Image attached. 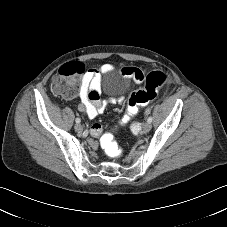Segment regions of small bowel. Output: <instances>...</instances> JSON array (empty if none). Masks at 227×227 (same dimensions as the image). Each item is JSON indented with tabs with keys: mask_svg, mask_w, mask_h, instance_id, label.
<instances>
[{
	"mask_svg": "<svg viewBox=\"0 0 227 227\" xmlns=\"http://www.w3.org/2000/svg\"><path fill=\"white\" fill-rule=\"evenodd\" d=\"M114 70V66L112 64H104L100 68H88L85 70L82 82H81V90L79 93L80 102L78 105V109L85 116L90 119L97 117L99 114L103 112L105 109L106 103L100 98L97 100H92L90 97V92L92 89H96L100 94V80L102 74L110 73ZM140 70L142 73V77L140 79H134L136 83H141L145 78V71L143 69L129 67L126 68L125 71H134ZM67 99L70 97L64 96ZM139 130L138 125L132 126V132L136 134ZM90 134L93 138L88 140V143L91 147L97 148L98 142L95 138L99 137L102 134V126L99 123H93L90 127Z\"/></svg>",
	"mask_w": 227,
	"mask_h": 227,
	"instance_id": "1",
	"label": "small bowel"
}]
</instances>
